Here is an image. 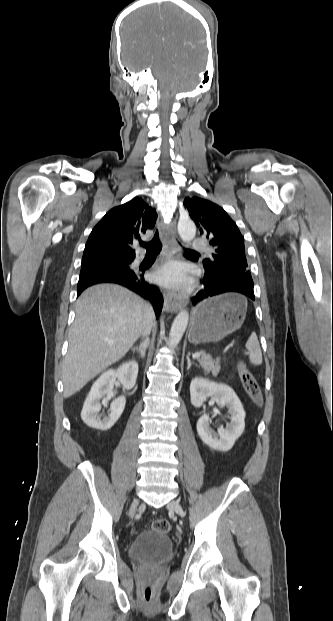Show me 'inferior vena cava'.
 <instances>
[{"label": "inferior vena cava", "mask_w": 333, "mask_h": 621, "mask_svg": "<svg viewBox=\"0 0 333 621\" xmlns=\"http://www.w3.org/2000/svg\"><path fill=\"white\" fill-rule=\"evenodd\" d=\"M150 330H151V328L144 330V331L141 333V335H142L143 337H147V336L149 335V333H150ZM147 339H148V337H147Z\"/></svg>", "instance_id": "inferior-vena-cava-1"}]
</instances>
